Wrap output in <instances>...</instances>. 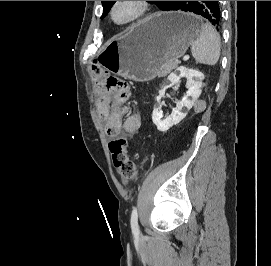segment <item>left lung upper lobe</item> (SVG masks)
<instances>
[{
	"instance_id": "obj_1",
	"label": "left lung upper lobe",
	"mask_w": 271,
	"mask_h": 266,
	"mask_svg": "<svg viewBox=\"0 0 271 266\" xmlns=\"http://www.w3.org/2000/svg\"><path fill=\"white\" fill-rule=\"evenodd\" d=\"M115 2L116 1H102L103 14L101 18H104L107 15V13L109 12V10L111 9ZM148 2L156 4L161 10H163L171 1H148Z\"/></svg>"
}]
</instances>
